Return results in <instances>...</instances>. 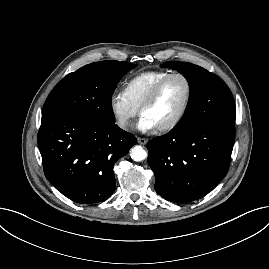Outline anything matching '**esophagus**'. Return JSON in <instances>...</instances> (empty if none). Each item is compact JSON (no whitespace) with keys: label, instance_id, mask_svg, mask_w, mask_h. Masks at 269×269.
Masks as SVG:
<instances>
[{"label":"esophagus","instance_id":"esophagus-1","mask_svg":"<svg viewBox=\"0 0 269 269\" xmlns=\"http://www.w3.org/2000/svg\"><path fill=\"white\" fill-rule=\"evenodd\" d=\"M137 141H138V143L139 144H141V145H145L147 142H148V140L147 139H145V138H137Z\"/></svg>","mask_w":269,"mask_h":269}]
</instances>
